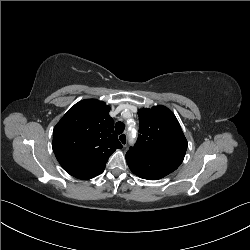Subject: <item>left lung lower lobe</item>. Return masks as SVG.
Segmentation results:
<instances>
[{"label": "left lung lower lobe", "mask_w": 250, "mask_h": 250, "mask_svg": "<svg viewBox=\"0 0 250 250\" xmlns=\"http://www.w3.org/2000/svg\"><path fill=\"white\" fill-rule=\"evenodd\" d=\"M129 168L135 175L148 180H157L169 174L157 168L153 161L148 158H139V160L133 165H130Z\"/></svg>", "instance_id": "left-lung-lower-lobe-1"}]
</instances>
